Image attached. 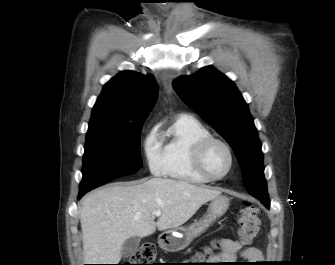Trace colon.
<instances>
[{
	"label": "colon",
	"mask_w": 335,
	"mask_h": 265,
	"mask_svg": "<svg viewBox=\"0 0 335 265\" xmlns=\"http://www.w3.org/2000/svg\"><path fill=\"white\" fill-rule=\"evenodd\" d=\"M261 226L259 211L251 204H246L239 219V235L244 243H250L258 234ZM212 248L199 254L198 258H205ZM156 249L152 244H143L124 265H154Z\"/></svg>",
	"instance_id": "1"
}]
</instances>
